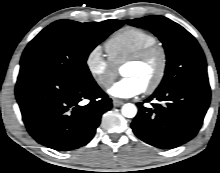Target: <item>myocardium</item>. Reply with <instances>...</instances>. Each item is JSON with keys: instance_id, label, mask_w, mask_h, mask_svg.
<instances>
[{"instance_id": "f54148a6", "label": "myocardium", "mask_w": 220, "mask_h": 173, "mask_svg": "<svg viewBox=\"0 0 220 173\" xmlns=\"http://www.w3.org/2000/svg\"><path fill=\"white\" fill-rule=\"evenodd\" d=\"M155 56L159 59V67L154 80L144 89L147 94L154 93L165 78L168 66V56L165 48L158 44L149 46L129 57L124 63V65L143 64Z\"/></svg>"}]
</instances>
